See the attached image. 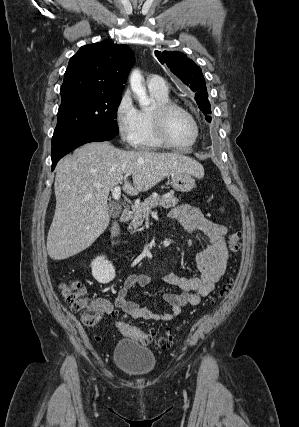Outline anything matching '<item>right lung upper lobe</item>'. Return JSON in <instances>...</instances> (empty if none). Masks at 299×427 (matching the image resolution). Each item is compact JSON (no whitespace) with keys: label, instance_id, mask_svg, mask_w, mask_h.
I'll return each mask as SVG.
<instances>
[{"label":"right lung upper lobe","instance_id":"obj_1","mask_svg":"<svg viewBox=\"0 0 299 427\" xmlns=\"http://www.w3.org/2000/svg\"><path fill=\"white\" fill-rule=\"evenodd\" d=\"M133 64L134 54L126 45L101 42L83 46L69 61L61 97L82 93L120 95Z\"/></svg>","mask_w":299,"mask_h":427}]
</instances>
